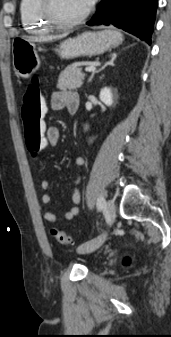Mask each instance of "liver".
I'll use <instances>...</instances> for the list:
<instances>
[{
	"instance_id": "6515ba94",
	"label": "liver",
	"mask_w": 171,
	"mask_h": 337,
	"mask_svg": "<svg viewBox=\"0 0 171 337\" xmlns=\"http://www.w3.org/2000/svg\"><path fill=\"white\" fill-rule=\"evenodd\" d=\"M61 37H63V36L50 35V36L29 37V38H26V39L29 40V41H32V42H44V41H51V40H54V39H58V38H61Z\"/></svg>"
}]
</instances>
